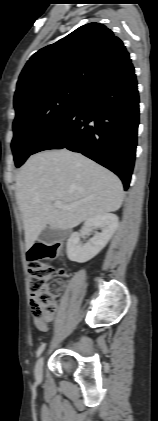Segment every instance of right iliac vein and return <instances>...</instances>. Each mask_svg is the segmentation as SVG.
Listing matches in <instances>:
<instances>
[{"instance_id":"obj_1","label":"right iliac vein","mask_w":158,"mask_h":421,"mask_svg":"<svg viewBox=\"0 0 158 421\" xmlns=\"http://www.w3.org/2000/svg\"><path fill=\"white\" fill-rule=\"evenodd\" d=\"M43 364H44V356H41L35 366V377L37 380L42 379L43 374Z\"/></svg>"}]
</instances>
